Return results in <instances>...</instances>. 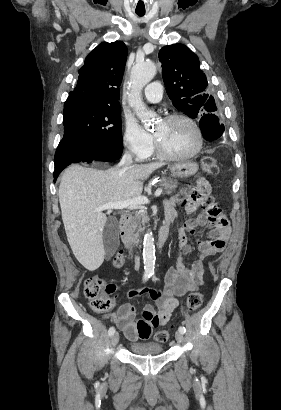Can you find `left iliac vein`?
I'll use <instances>...</instances> for the list:
<instances>
[{"instance_id":"1","label":"left iliac vein","mask_w":281,"mask_h":410,"mask_svg":"<svg viewBox=\"0 0 281 410\" xmlns=\"http://www.w3.org/2000/svg\"><path fill=\"white\" fill-rule=\"evenodd\" d=\"M175 339L178 343H183L184 341L183 334L180 331H177L175 333Z\"/></svg>"}]
</instances>
